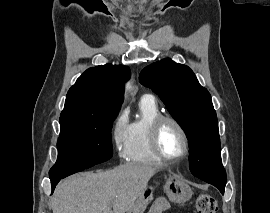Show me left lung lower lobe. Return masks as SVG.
Segmentation results:
<instances>
[{
	"mask_svg": "<svg viewBox=\"0 0 270 213\" xmlns=\"http://www.w3.org/2000/svg\"><path fill=\"white\" fill-rule=\"evenodd\" d=\"M189 169H190L191 173H192L194 176L198 177L199 174L197 173L196 165H195V164H192V163L189 162ZM198 178H199V177H198ZM218 189L220 190V192H221L222 194H224V189H225V188H218Z\"/></svg>",
	"mask_w": 270,
	"mask_h": 213,
	"instance_id": "obj_1",
	"label": "left lung lower lobe"
}]
</instances>
